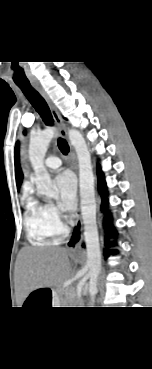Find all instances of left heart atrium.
I'll list each match as a JSON object with an SVG mask.
<instances>
[{
    "label": "left heart atrium",
    "mask_w": 152,
    "mask_h": 369,
    "mask_svg": "<svg viewBox=\"0 0 152 369\" xmlns=\"http://www.w3.org/2000/svg\"><path fill=\"white\" fill-rule=\"evenodd\" d=\"M55 185L60 196V207L71 212L76 207V181L70 172H63L55 178Z\"/></svg>",
    "instance_id": "39dd6f15"
}]
</instances>
